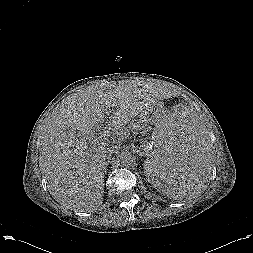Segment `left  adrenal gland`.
Masks as SVG:
<instances>
[{
  "mask_svg": "<svg viewBox=\"0 0 253 253\" xmlns=\"http://www.w3.org/2000/svg\"><path fill=\"white\" fill-rule=\"evenodd\" d=\"M137 153H139L140 156H143V150L142 149H138Z\"/></svg>",
  "mask_w": 253,
  "mask_h": 253,
  "instance_id": "1",
  "label": "left adrenal gland"
}]
</instances>
